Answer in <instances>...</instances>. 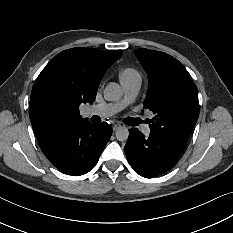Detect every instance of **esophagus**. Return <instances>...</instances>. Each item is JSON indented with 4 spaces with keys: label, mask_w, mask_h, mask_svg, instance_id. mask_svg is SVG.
Masks as SVG:
<instances>
[{
    "label": "esophagus",
    "mask_w": 233,
    "mask_h": 233,
    "mask_svg": "<svg viewBox=\"0 0 233 233\" xmlns=\"http://www.w3.org/2000/svg\"><path fill=\"white\" fill-rule=\"evenodd\" d=\"M122 126H121V124H119V123H117V124H114L113 125V131H116V130H118L119 128H121Z\"/></svg>",
    "instance_id": "34e87169"
}]
</instances>
